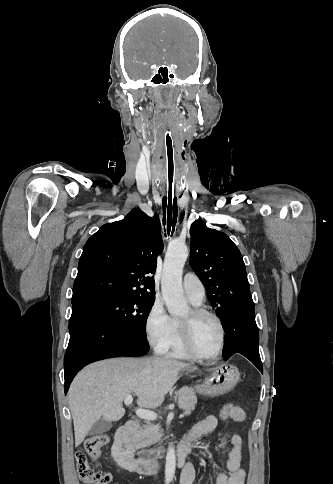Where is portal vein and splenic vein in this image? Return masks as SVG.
<instances>
[{"instance_id":"1","label":"portal vein and splenic vein","mask_w":333,"mask_h":484,"mask_svg":"<svg viewBox=\"0 0 333 484\" xmlns=\"http://www.w3.org/2000/svg\"><path fill=\"white\" fill-rule=\"evenodd\" d=\"M133 401V397L132 395H128L125 399H124V403L126 405H129L131 404ZM136 415L141 418V419H145V420H148V421H153V420H156L157 419V414L154 412V411H150V410H146V409H137L136 410ZM184 417V414H181L179 416V418H183Z\"/></svg>"}]
</instances>
